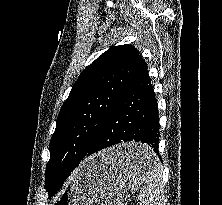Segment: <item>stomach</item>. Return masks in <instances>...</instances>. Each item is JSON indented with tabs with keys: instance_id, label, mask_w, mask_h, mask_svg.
Returning <instances> with one entry per match:
<instances>
[{
	"instance_id": "1",
	"label": "stomach",
	"mask_w": 222,
	"mask_h": 205,
	"mask_svg": "<svg viewBox=\"0 0 222 205\" xmlns=\"http://www.w3.org/2000/svg\"><path fill=\"white\" fill-rule=\"evenodd\" d=\"M146 150L141 143H127L87 158L73 173L53 205H122L144 182L152 165H131L121 157L129 151Z\"/></svg>"
}]
</instances>
